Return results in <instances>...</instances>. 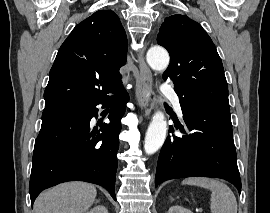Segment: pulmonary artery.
Listing matches in <instances>:
<instances>
[{"instance_id":"obj_1","label":"pulmonary artery","mask_w":270,"mask_h":213,"mask_svg":"<svg viewBox=\"0 0 270 213\" xmlns=\"http://www.w3.org/2000/svg\"><path fill=\"white\" fill-rule=\"evenodd\" d=\"M160 90H161V93L170 97L177 113L180 116H182V110H181V106H180L179 96L172 90V88L169 85H166V84H163L161 86Z\"/></svg>"}]
</instances>
